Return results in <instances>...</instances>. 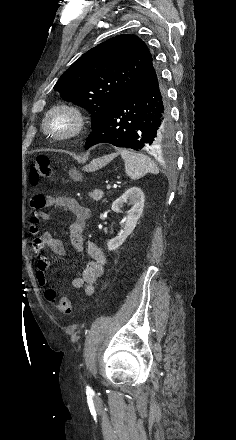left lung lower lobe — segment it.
I'll return each instance as SVG.
<instances>
[{"label": "left lung lower lobe", "instance_id": "left-lung-lower-lobe-1", "mask_svg": "<svg viewBox=\"0 0 236 440\" xmlns=\"http://www.w3.org/2000/svg\"><path fill=\"white\" fill-rule=\"evenodd\" d=\"M172 128L166 89L153 61L145 73L111 107L89 135L85 149L110 143L134 150L156 149L170 142Z\"/></svg>", "mask_w": 236, "mask_h": 440}]
</instances>
